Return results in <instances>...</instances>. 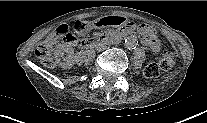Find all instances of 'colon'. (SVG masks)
<instances>
[{
  "instance_id": "5ec220e1",
  "label": "colon",
  "mask_w": 207,
  "mask_h": 123,
  "mask_svg": "<svg viewBox=\"0 0 207 123\" xmlns=\"http://www.w3.org/2000/svg\"><path fill=\"white\" fill-rule=\"evenodd\" d=\"M59 40L67 43L75 42V38L67 25L58 26L54 35L40 44L36 50V56L47 67L52 68L55 66V62L52 59V50L54 44ZM175 61L176 54L173 51H166L159 61L151 62L145 67L144 75L147 78H155L160 73L171 69Z\"/></svg>"
}]
</instances>
